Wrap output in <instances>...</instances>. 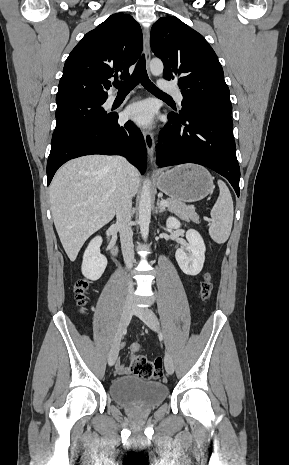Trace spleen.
<instances>
[{"mask_svg":"<svg viewBox=\"0 0 289 465\" xmlns=\"http://www.w3.org/2000/svg\"><path fill=\"white\" fill-rule=\"evenodd\" d=\"M219 197L211 210L209 235L218 244L225 243L231 233L233 223V200L226 184L218 180Z\"/></svg>","mask_w":289,"mask_h":465,"instance_id":"obj_1","label":"spleen"}]
</instances>
